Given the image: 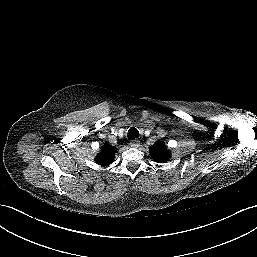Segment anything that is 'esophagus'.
Here are the masks:
<instances>
[{
    "mask_svg": "<svg viewBox=\"0 0 257 257\" xmlns=\"http://www.w3.org/2000/svg\"><path fill=\"white\" fill-rule=\"evenodd\" d=\"M130 146L133 147V148H137V147L140 146V141L137 140V139L132 140V141L130 142Z\"/></svg>",
    "mask_w": 257,
    "mask_h": 257,
    "instance_id": "34e87169",
    "label": "esophagus"
}]
</instances>
